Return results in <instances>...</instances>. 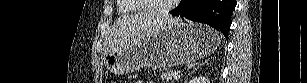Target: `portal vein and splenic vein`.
<instances>
[{
  "instance_id": "portal-vein-and-splenic-vein-1",
  "label": "portal vein and splenic vein",
  "mask_w": 307,
  "mask_h": 83,
  "mask_svg": "<svg viewBox=\"0 0 307 83\" xmlns=\"http://www.w3.org/2000/svg\"><path fill=\"white\" fill-rule=\"evenodd\" d=\"M173 78H174V79L180 78V74H179L178 72H177V73H174Z\"/></svg>"
}]
</instances>
